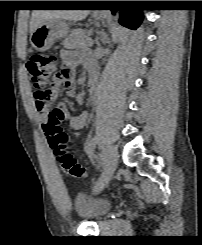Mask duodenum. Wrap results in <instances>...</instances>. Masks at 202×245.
<instances>
[{"label":"duodenum","mask_w":202,"mask_h":245,"mask_svg":"<svg viewBox=\"0 0 202 245\" xmlns=\"http://www.w3.org/2000/svg\"><path fill=\"white\" fill-rule=\"evenodd\" d=\"M87 73L90 81L95 78V69L92 66L87 67Z\"/></svg>","instance_id":"obj_1"}]
</instances>
